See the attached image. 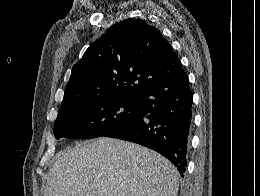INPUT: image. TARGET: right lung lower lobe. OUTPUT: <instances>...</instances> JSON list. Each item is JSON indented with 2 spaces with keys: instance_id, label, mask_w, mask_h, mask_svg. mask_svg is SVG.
Here are the masks:
<instances>
[{
  "instance_id": "right-lung-lower-lobe-1",
  "label": "right lung lower lobe",
  "mask_w": 260,
  "mask_h": 196,
  "mask_svg": "<svg viewBox=\"0 0 260 196\" xmlns=\"http://www.w3.org/2000/svg\"><path fill=\"white\" fill-rule=\"evenodd\" d=\"M189 85L188 76L183 71L174 79L146 91L138 97L142 118L105 137L155 150L169 159L183 177L192 127L193 95Z\"/></svg>"
}]
</instances>
